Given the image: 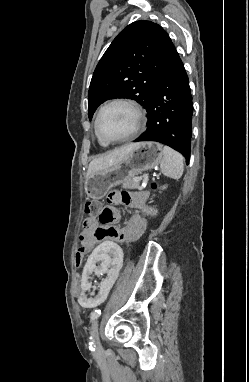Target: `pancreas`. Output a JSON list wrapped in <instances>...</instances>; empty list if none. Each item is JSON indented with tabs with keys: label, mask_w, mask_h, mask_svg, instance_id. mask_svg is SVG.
I'll return each mask as SVG.
<instances>
[{
	"label": "pancreas",
	"mask_w": 249,
	"mask_h": 382,
	"mask_svg": "<svg viewBox=\"0 0 249 382\" xmlns=\"http://www.w3.org/2000/svg\"><path fill=\"white\" fill-rule=\"evenodd\" d=\"M140 182L136 181L134 177H128L122 182V188L124 189H138Z\"/></svg>",
	"instance_id": "cf45deb5"
}]
</instances>
